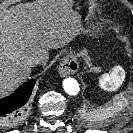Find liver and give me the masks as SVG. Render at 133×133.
<instances>
[{
    "instance_id": "liver-1",
    "label": "liver",
    "mask_w": 133,
    "mask_h": 133,
    "mask_svg": "<svg viewBox=\"0 0 133 133\" xmlns=\"http://www.w3.org/2000/svg\"><path fill=\"white\" fill-rule=\"evenodd\" d=\"M48 5L44 0L0 11V96L30 74L28 58L65 46L80 34V17L72 2Z\"/></svg>"
}]
</instances>
